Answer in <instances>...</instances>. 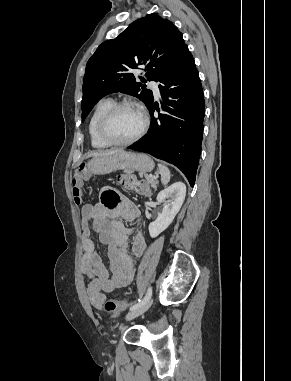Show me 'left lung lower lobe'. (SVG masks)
Returning a JSON list of instances; mask_svg holds the SVG:
<instances>
[{
  "mask_svg": "<svg viewBox=\"0 0 291 381\" xmlns=\"http://www.w3.org/2000/svg\"><path fill=\"white\" fill-rule=\"evenodd\" d=\"M159 81L163 100L161 107L166 113L154 117V109L158 108L152 100L148 106L151 128L128 149L172 163L194 186L201 153L205 105L199 74L188 47Z\"/></svg>",
  "mask_w": 291,
  "mask_h": 381,
  "instance_id": "1",
  "label": "left lung lower lobe"
}]
</instances>
